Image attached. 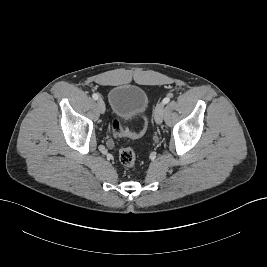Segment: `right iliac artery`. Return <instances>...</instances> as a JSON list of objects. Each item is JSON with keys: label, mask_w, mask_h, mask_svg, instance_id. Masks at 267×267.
<instances>
[{"label": "right iliac artery", "mask_w": 267, "mask_h": 267, "mask_svg": "<svg viewBox=\"0 0 267 267\" xmlns=\"http://www.w3.org/2000/svg\"><path fill=\"white\" fill-rule=\"evenodd\" d=\"M92 97H93L94 100H97L99 96H98V94L94 93V94L92 95Z\"/></svg>", "instance_id": "obj_1"}]
</instances>
